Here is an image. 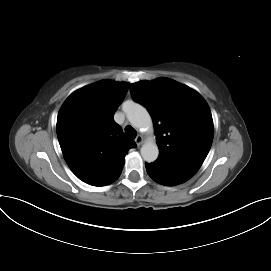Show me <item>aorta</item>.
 <instances>
[{
  "instance_id": "1",
  "label": "aorta",
  "mask_w": 271,
  "mask_h": 271,
  "mask_svg": "<svg viewBox=\"0 0 271 271\" xmlns=\"http://www.w3.org/2000/svg\"><path fill=\"white\" fill-rule=\"evenodd\" d=\"M125 113L129 122L138 129H151L152 119L145 107L138 103L127 102ZM159 155V149L154 141H146L141 147V156L144 161L154 162Z\"/></svg>"
}]
</instances>
